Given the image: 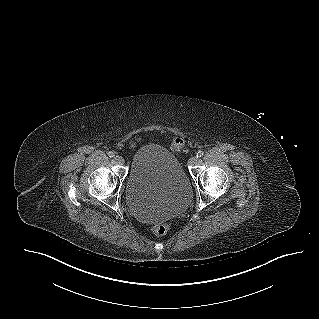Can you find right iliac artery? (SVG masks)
I'll list each match as a JSON object with an SVG mask.
<instances>
[{"instance_id": "1", "label": "right iliac artery", "mask_w": 319, "mask_h": 319, "mask_svg": "<svg viewBox=\"0 0 319 319\" xmlns=\"http://www.w3.org/2000/svg\"><path fill=\"white\" fill-rule=\"evenodd\" d=\"M108 156H109V157H114V156H115V153H114L113 151H109V152H108Z\"/></svg>"}]
</instances>
